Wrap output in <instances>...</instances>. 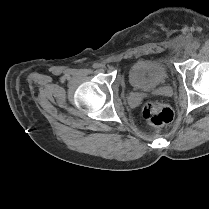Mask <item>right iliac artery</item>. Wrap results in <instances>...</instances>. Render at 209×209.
Returning <instances> with one entry per match:
<instances>
[{
  "mask_svg": "<svg viewBox=\"0 0 209 209\" xmlns=\"http://www.w3.org/2000/svg\"><path fill=\"white\" fill-rule=\"evenodd\" d=\"M99 67V64H97V63H95V64H93V68H98Z\"/></svg>",
  "mask_w": 209,
  "mask_h": 209,
  "instance_id": "1",
  "label": "right iliac artery"
}]
</instances>
